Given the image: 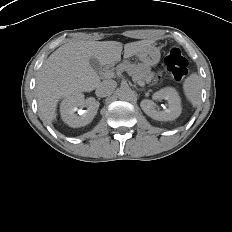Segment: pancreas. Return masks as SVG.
<instances>
[{
    "label": "pancreas",
    "mask_w": 232,
    "mask_h": 232,
    "mask_svg": "<svg viewBox=\"0 0 232 232\" xmlns=\"http://www.w3.org/2000/svg\"><path fill=\"white\" fill-rule=\"evenodd\" d=\"M116 70L120 72L126 71L138 83H148L154 76V73L151 72V68L149 66L145 64H131L128 61H124L117 65Z\"/></svg>",
    "instance_id": "1"
}]
</instances>
